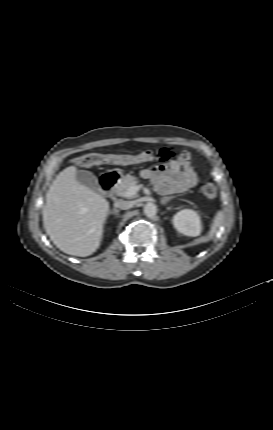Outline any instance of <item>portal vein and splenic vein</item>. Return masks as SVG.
Wrapping results in <instances>:
<instances>
[{
	"label": "portal vein and splenic vein",
	"mask_w": 273,
	"mask_h": 430,
	"mask_svg": "<svg viewBox=\"0 0 273 430\" xmlns=\"http://www.w3.org/2000/svg\"><path fill=\"white\" fill-rule=\"evenodd\" d=\"M143 187V185L142 184H140V185H133V186H131L129 189H128V191L125 193V194H123L122 196L123 197H127V198H129V197H131V196H133V195H135L141 188Z\"/></svg>",
	"instance_id": "obj_1"
}]
</instances>
